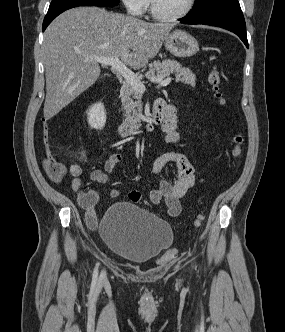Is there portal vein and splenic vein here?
<instances>
[{
    "mask_svg": "<svg viewBox=\"0 0 285 332\" xmlns=\"http://www.w3.org/2000/svg\"><path fill=\"white\" fill-rule=\"evenodd\" d=\"M92 60L101 63L102 65H109L113 67L116 71H118L135 90L143 93L145 92V86L144 84L138 79V77L128 68L126 65H124L118 57L115 58H104V57H94L91 58ZM158 83V87H165L170 84L171 77H168L166 79L163 78H156L154 80Z\"/></svg>",
    "mask_w": 285,
    "mask_h": 332,
    "instance_id": "18ae733b",
    "label": "portal vein and splenic vein"
}]
</instances>
